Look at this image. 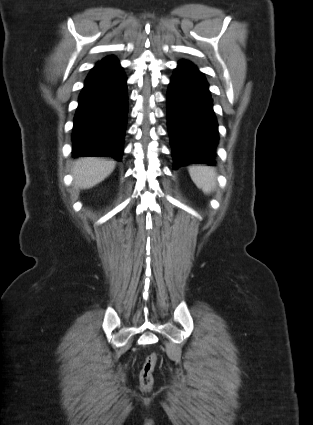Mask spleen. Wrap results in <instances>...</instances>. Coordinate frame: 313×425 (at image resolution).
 Masks as SVG:
<instances>
[{
	"instance_id": "3e777b00",
	"label": "spleen",
	"mask_w": 313,
	"mask_h": 425,
	"mask_svg": "<svg viewBox=\"0 0 313 425\" xmlns=\"http://www.w3.org/2000/svg\"><path fill=\"white\" fill-rule=\"evenodd\" d=\"M192 181L205 194H210L216 186V171L208 166H191L188 169Z\"/></svg>"
}]
</instances>
